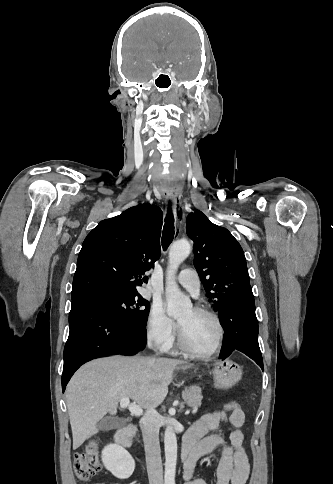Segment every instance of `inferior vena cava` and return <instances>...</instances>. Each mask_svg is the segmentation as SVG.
<instances>
[{
    "mask_svg": "<svg viewBox=\"0 0 333 484\" xmlns=\"http://www.w3.org/2000/svg\"><path fill=\"white\" fill-rule=\"evenodd\" d=\"M148 346L149 348L152 347L151 341H148ZM140 427L146 453L149 484H164L159 443V426L156 423V411L154 409H148L146 411L140 420Z\"/></svg>",
    "mask_w": 333,
    "mask_h": 484,
    "instance_id": "602c4592",
    "label": "inferior vena cava"
}]
</instances>
